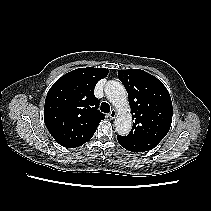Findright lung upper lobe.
Wrapping results in <instances>:
<instances>
[{"label": "right lung upper lobe", "instance_id": "1", "mask_svg": "<svg viewBox=\"0 0 211 211\" xmlns=\"http://www.w3.org/2000/svg\"><path fill=\"white\" fill-rule=\"evenodd\" d=\"M105 68H79L59 78L50 88L44 122L62 146L75 148L88 142L104 115L98 110L94 87L108 75Z\"/></svg>", "mask_w": 211, "mask_h": 211}]
</instances>
